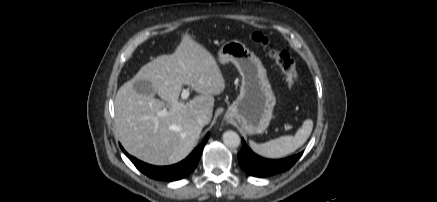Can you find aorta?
Instances as JSON below:
<instances>
[{"instance_id":"762f6f07","label":"aorta","mask_w":437,"mask_h":202,"mask_svg":"<svg viewBox=\"0 0 437 202\" xmlns=\"http://www.w3.org/2000/svg\"><path fill=\"white\" fill-rule=\"evenodd\" d=\"M223 142L229 148H237L241 139L236 132L229 130L223 134Z\"/></svg>"}]
</instances>
